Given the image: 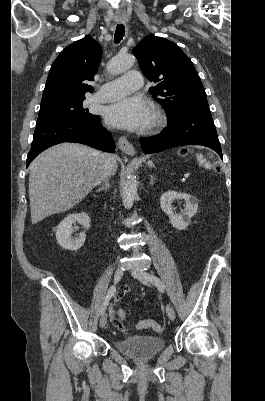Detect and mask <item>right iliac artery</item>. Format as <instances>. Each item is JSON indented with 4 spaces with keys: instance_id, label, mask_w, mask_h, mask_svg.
I'll use <instances>...</instances> for the list:
<instances>
[{
    "instance_id": "1",
    "label": "right iliac artery",
    "mask_w": 265,
    "mask_h": 401,
    "mask_svg": "<svg viewBox=\"0 0 265 401\" xmlns=\"http://www.w3.org/2000/svg\"><path fill=\"white\" fill-rule=\"evenodd\" d=\"M115 292H116V286H115V285H112V286L109 288V290H108V292H107V295H106V298H105V300H104V302H103V304H102L101 311H100L101 314H103V313L105 312V310H106V308H107V306H108V304H109V302H110V299H111L112 296L115 294Z\"/></svg>"
}]
</instances>
